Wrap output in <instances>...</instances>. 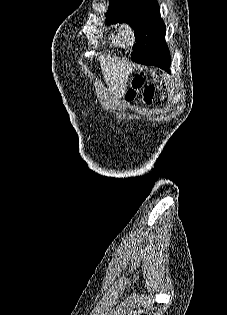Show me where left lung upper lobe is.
<instances>
[{"label":"left lung upper lobe","instance_id":"5c2ea615","mask_svg":"<svg viewBox=\"0 0 227 315\" xmlns=\"http://www.w3.org/2000/svg\"><path fill=\"white\" fill-rule=\"evenodd\" d=\"M107 24L127 22L135 30L136 43L154 38L162 50L169 54L165 42L166 27L160 16L156 0H109Z\"/></svg>","mask_w":227,"mask_h":315}]
</instances>
